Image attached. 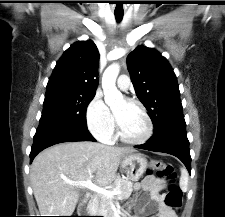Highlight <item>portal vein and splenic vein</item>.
<instances>
[{"label":"portal vein and splenic vein","instance_id":"1","mask_svg":"<svg viewBox=\"0 0 225 217\" xmlns=\"http://www.w3.org/2000/svg\"><path fill=\"white\" fill-rule=\"evenodd\" d=\"M68 183L75 185V186H82L85 188H88L94 192H97L99 194H103L105 196H107L108 198H112L115 195H119L121 194L120 190L114 189V190H107L106 188L97 186L96 184H94L90 179L86 180V181H67Z\"/></svg>","mask_w":225,"mask_h":217}]
</instances>
